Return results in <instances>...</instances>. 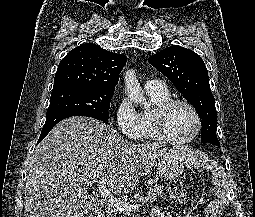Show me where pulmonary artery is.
<instances>
[{"label": "pulmonary artery", "mask_w": 255, "mask_h": 217, "mask_svg": "<svg viewBox=\"0 0 255 217\" xmlns=\"http://www.w3.org/2000/svg\"><path fill=\"white\" fill-rule=\"evenodd\" d=\"M165 85L162 81L159 80H149L145 84L146 90H160L165 89Z\"/></svg>", "instance_id": "e3ab8cb5"}]
</instances>
